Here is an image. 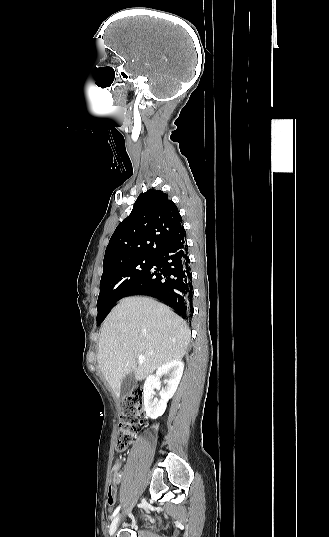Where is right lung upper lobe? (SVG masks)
I'll list each match as a JSON object with an SVG mask.
<instances>
[{"label":"right lung upper lobe","mask_w":329,"mask_h":537,"mask_svg":"<svg viewBox=\"0 0 329 537\" xmlns=\"http://www.w3.org/2000/svg\"><path fill=\"white\" fill-rule=\"evenodd\" d=\"M178 208L168 195L150 189L141 193L130 215L114 231L105 251L103 269L153 257L185 229Z\"/></svg>","instance_id":"cb5924a9"}]
</instances>
